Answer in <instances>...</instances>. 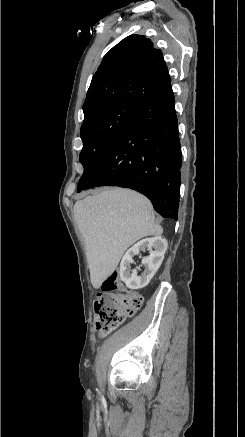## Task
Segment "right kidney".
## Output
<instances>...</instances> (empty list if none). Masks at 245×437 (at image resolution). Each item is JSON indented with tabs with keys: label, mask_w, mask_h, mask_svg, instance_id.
Here are the masks:
<instances>
[{
	"label": "right kidney",
	"mask_w": 245,
	"mask_h": 437,
	"mask_svg": "<svg viewBox=\"0 0 245 437\" xmlns=\"http://www.w3.org/2000/svg\"><path fill=\"white\" fill-rule=\"evenodd\" d=\"M167 247L168 243L165 238L155 236L143 239L127 250L120 263V278L129 289L137 290L148 285L161 266ZM145 250H148L150 253L142 259L145 270L141 275H137V269L140 268L136 267L130 273V264L133 263V257L140 254V251Z\"/></svg>",
	"instance_id": "ca27d5eb"
}]
</instances>
